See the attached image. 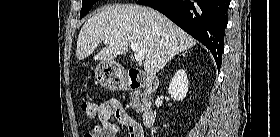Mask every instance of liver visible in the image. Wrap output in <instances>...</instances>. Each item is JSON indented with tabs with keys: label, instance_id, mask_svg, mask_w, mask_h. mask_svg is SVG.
<instances>
[{
	"label": "liver",
	"instance_id": "obj_1",
	"mask_svg": "<svg viewBox=\"0 0 280 137\" xmlns=\"http://www.w3.org/2000/svg\"><path fill=\"white\" fill-rule=\"evenodd\" d=\"M107 44L95 60L113 61L126 54L135 42L145 54L144 70L155 75L176 54L196 45V40L158 11L140 5H115L103 8L82 26L76 57L83 60L99 43Z\"/></svg>",
	"mask_w": 280,
	"mask_h": 137
}]
</instances>
